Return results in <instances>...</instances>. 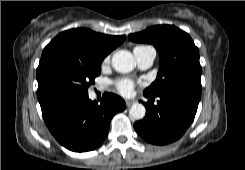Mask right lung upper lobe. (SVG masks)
Wrapping results in <instances>:
<instances>
[{
  "mask_svg": "<svg viewBox=\"0 0 245 170\" xmlns=\"http://www.w3.org/2000/svg\"><path fill=\"white\" fill-rule=\"evenodd\" d=\"M126 36H110L85 28L71 29L58 34L44 49L41 58L58 54L88 62H102Z\"/></svg>",
  "mask_w": 245,
  "mask_h": 170,
  "instance_id": "cb5924a9",
  "label": "right lung upper lobe"
}]
</instances>
